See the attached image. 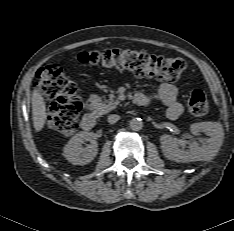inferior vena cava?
I'll return each instance as SVG.
<instances>
[{"instance_id": "inferior-vena-cava-1", "label": "inferior vena cava", "mask_w": 234, "mask_h": 231, "mask_svg": "<svg viewBox=\"0 0 234 231\" xmlns=\"http://www.w3.org/2000/svg\"><path fill=\"white\" fill-rule=\"evenodd\" d=\"M119 119H120V116L116 115V114H111V115L108 116V122L110 124L116 123Z\"/></svg>"}]
</instances>
